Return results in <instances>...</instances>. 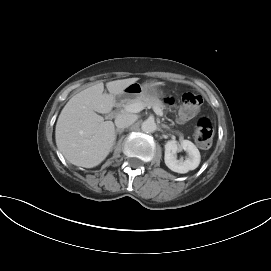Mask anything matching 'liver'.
Returning a JSON list of instances; mask_svg holds the SVG:
<instances>
[{"instance_id": "1", "label": "liver", "mask_w": 271, "mask_h": 271, "mask_svg": "<svg viewBox=\"0 0 271 271\" xmlns=\"http://www.w3.org/2000/svg\"><path fill=\"white\" fill-rule=\"evenodd\" d=\"M139 78L106 83L109 93H103L99 82L74 95L62 109L55 129L58 150L70 163L85 168L99 165L108 156L115 141L112 121H104L97 113H109L115 97Z\"/></svg>"}]
</instances>
